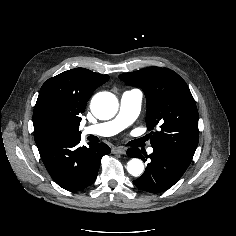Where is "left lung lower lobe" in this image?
<instances>
[{
	"label": "left lung lower lobe",
	"instance_id": "0a47b994",
	"mask_svg": "<svg viewBox=\"0 0 236 236\" xmlns=\"http://www.w3.org/2000/svg\"><path fill=\"white\" fill-rule=\"evenodd\" d=\"M153 149L149 156L145 154L146 159L138 148L128 149L127 154L130 157H140L144 162L150 159L144 174L133 183L146 192L161 193L182 177L193 156L160 145L153 146Z\"/></svg>",
	"mask_w": 236,
	"mask_h": 236
}]
</instances>
